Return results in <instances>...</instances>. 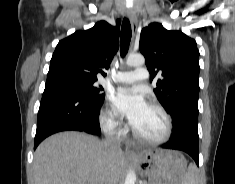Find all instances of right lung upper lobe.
Here are the masks:
<instances>
[{"mask_svg":"<svg viewBox=\"0 0 235 184\" xmlns=\"http://www.w3.org/2000/svg\"><path fill=\"white\" fill-rule=\"evenodd\" d=\"M117 26L97 22L91 29L79 30L59 41L53 53L46 87L61 84L67 77L97 81V74H106L118 50L120 20Z\"/></svg>","mask_w":235,"mask_h":184,"instance_id":"right-lung-upper-lobe-1","label":"right lung upper lobe"}]
</instances>
